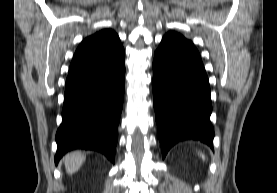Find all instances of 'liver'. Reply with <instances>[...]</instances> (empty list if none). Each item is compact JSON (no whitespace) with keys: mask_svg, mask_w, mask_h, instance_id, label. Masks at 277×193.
Instances as JSON below:
<instances>
[{"mask_svg":"<svg viewBox=\"0 0 277 193\" xmlns=\"http://www.w3.org/2000/svg\"><path fill=\"white\" fill-rule=\"evenodd\" d=\"M85 159L86 157L81 152H72L66 155L63 161L65 163L67 173L73 174L77 172L84 163Z\"/></svg>","mask_w":277,"mask_h":193,"instance_id":"6515ba94","label":"liver"}]
</instances>
